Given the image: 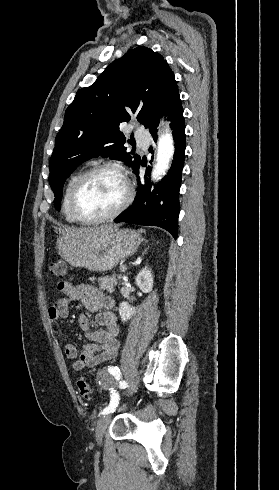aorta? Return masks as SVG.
Returning a JSON list of instances; mask_svg holds the SVG:
<instances>
[{"label": "aorta", "instance_id": "aorta-1", "mask_svg": "<svg viewBox=\"0 0 279 490\" xmlns=\"http://www.w3.org/2000/svg\"><path fill=\"white\" fill-rule=\"evenodd\" d=\"M174 151L173 136L169 130L166 129L158 139L156 163L151 172V177L154 181L160 180L162 176L166 174Z\"/></svg>", "mask_w": 279, "mask_h": 490}]
</instances>
